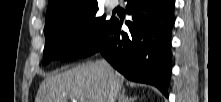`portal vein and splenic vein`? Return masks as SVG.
Returning a JSON list of instances; mask_svg holds the SVG:
<instances>
[{
    "instance_id": "18ae733b",
    "label": "portal vein and splenic vein",
    "mask_w": 221,
    "mask_h": 102,
    "mask_svg": "<svg viewBox=\"0 0 221 102\" xmlns=\"http://www.w3.org/2000/svg\"><path fill=\"white\" fill-rule=\"evenodd\" d=\"M77 99H79L80 102H88V101L86 100V98H84V97H81V98H71L72 102H76Z\"/></svg>"
}]
</instances>
